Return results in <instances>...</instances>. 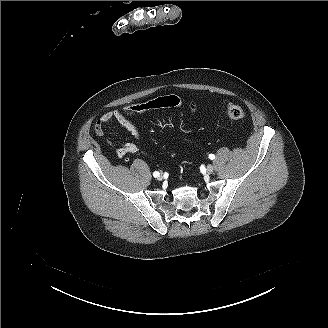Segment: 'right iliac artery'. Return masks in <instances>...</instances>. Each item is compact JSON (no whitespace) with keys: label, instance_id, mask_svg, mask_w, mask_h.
<instances>
[{"label":"right iliac artery","instance_id":"1","mask_svg":"<svg viewBox=\"0 0 328 328\" xmlns=\"http://www.w3.org/2000/svg\"><path fill=\"white\" fill-rule=\"evenodd\" d=\"M153 176H154L155 178L158 177V176H159V172L155 171V172L153 173Z\"/></svg>","mask_w":328,"mask_h":328}]
</instances>
